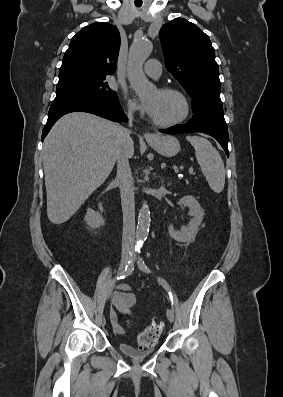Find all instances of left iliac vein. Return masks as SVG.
<instances>
[{"label": "left iliac vein", "mask_w": 283, "mask_h": 397, "mask_svg": "<svg viewBox=\"0 0 283 397\" xmlns=\"http://www.w3.org/2000/svg\"><path fill=\"white\" fill-rule=\"evenodd\" d=\"M132 260L135 261V257H132ZM166 314H167L168 320L170 322H173L174 321V312H173V310L168 308L167 311H166Z\"/></svg>", "instance_id": "left-iliac-vein-1"}]
</instances>
